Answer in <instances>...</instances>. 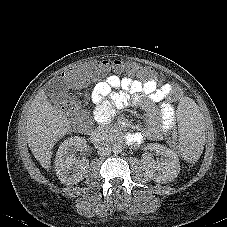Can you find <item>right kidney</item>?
Masks as SVG:
<instances>
[{
    "instance_id": "right-kidney-1",
    "label": "right kidney",
    "mask_w": 227,
    "mask_h": 227,
    "mask_svg": "<svg viewBox=\"0 0 227 227\" xmlns=\"http://www.w3.org/2000/svg\"><path fill=\"white\" fill-rule=\"evenodd\" d=\"M84 147H86V140L78 136L68 138L59 146L55 158V171L61 183L77 184L84 179L89 161L79 160L75 156V153L82 151Z\"/></svg>"
}]
</instances>
